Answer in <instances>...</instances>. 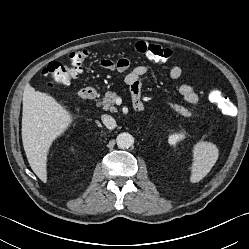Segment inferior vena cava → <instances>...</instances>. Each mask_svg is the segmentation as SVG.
<instances>
[{"label": "inferior vena cava", "mask_w": 249, "mask_h": 249, "mask_svg": "<svg viewBox=\"0 0 249 249\" xmlns=\"http://www.w3.org/2000/svg\"><path fill=\"white\" fill-rule=\"evenodd\" d=\"M101 120H102L103 124L106 126V128H108L110 130H112L116 127V121L110 115H106V114L102 115Z\"/></svg>", "instance_id": "obj_1"}]
</instances>
